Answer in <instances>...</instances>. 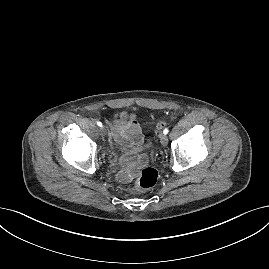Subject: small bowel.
<instances>
[{
	"instance_id": "1",
	"label": "small bowel",
	"mask_w": 269,
	"mask_h": 269,
	"mask_svg": "<svg viewBox=\"0 0 269 269\" xmlns=\"http://www.w3.org/2000/svg\"><path fill=\"white\" fill-rule=\"evenodd\" d=\"M111 135L118 144L129 149V153L119 161L120 170L117 175L120 182H129L137 175L138 168L147 162L145 156H135L133 153L144 142L137 116L122 112L111 126Z\"/></svg>"
}]
</instances>
